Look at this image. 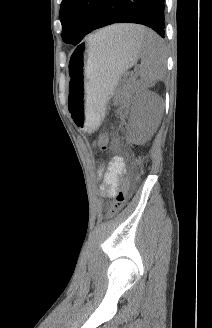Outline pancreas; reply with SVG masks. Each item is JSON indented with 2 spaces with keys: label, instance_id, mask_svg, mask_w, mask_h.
Masks as SVG:
<instances>
[{
  "label": "pancreas",
  "instance_id": "1",
  "mask_svg": "<svg viewBox=\"0 0 212 328\" xmlns=\"http://www.w3.org/2000/svg\"><path fill=\"white\" fill-rule=\"evenodd\" d=\"M127 86H128L129 89H132V86H130V85H127Z\"/></svg>",
  "mask_w": 212,
  "mask_h": 328
}]
</instances>
